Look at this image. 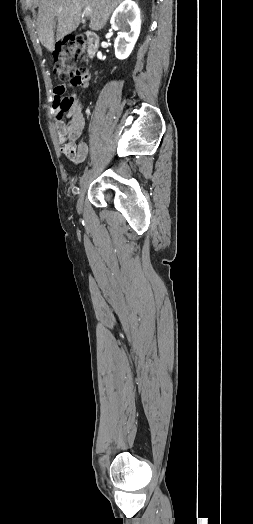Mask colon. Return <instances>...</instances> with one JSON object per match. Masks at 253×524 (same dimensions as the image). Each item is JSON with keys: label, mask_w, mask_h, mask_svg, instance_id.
<instances>
[{"label": "colon", "mask_w": 253, "mask_h": 524, "mask_svg": "<svg viewBox=\"0 0 253 524\" xmlns=\"http://www.w3.org/2000/svg\"><path fill=\"white\" fill-rule=\"evenodd\" d=\"M89 46L87 38L82 35L70 34L65 36L56 44L54 51L53 70L64 87L78 86L85 95L90 93L92 82L85 68L77 67L76 63L83 59L85 51ZM63 92L64 90L61 89ZM74 99L69 96H61L54 102V111L57 116H62L72 108Z\"/></svg>", "instance_id": "colon-1"}]
</instances>
